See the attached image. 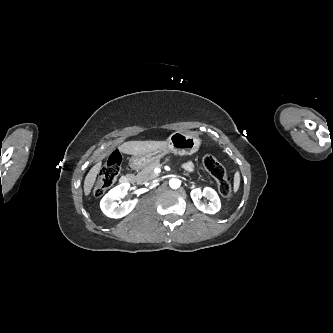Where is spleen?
<instances>
[{
  "mask_svg": "<svg viewBox=\"0 0 333 333\" xmlns=\"http://www.w3.org/2000/svg\"><path fill=\"white\" fill-rule=\"evenodd\" d=\"M239 185H240V173L238 171H236L234 174V183H233L234 193H236L238 191ZM230 198H231V195L229 194L228 200H230Z\"/></svg>",
  "mask_w": 333,
  "mask_h": 333,
  "instance_id": "3e777b00",
  "label": "spleen"
}]
</instances>
